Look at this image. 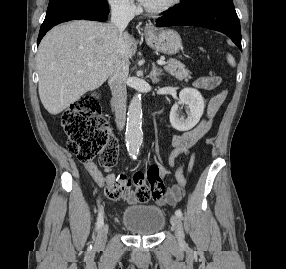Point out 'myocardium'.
I'll return each mask as SVG.
<instances>
[{
  "instance_id": "1",
  "label": "myocardium",
  "mask_w": 286,
  "mask_h": 269,
  "mask_svg": "<svg viewBox=\"0 0 286 269\" xmlns=\"http://www.w3.org/2000/svg\"><path fill=\"white\" fill-rule=\"evenodd\" d=\"M179 2H180V0H168L166 3H164L163 5L158 6V7L152 8V7L144 6V10L146 13H148L150 15H159V14H163V13L170 11L176 5H178Z\"/></svg>"
}]
</instances>
